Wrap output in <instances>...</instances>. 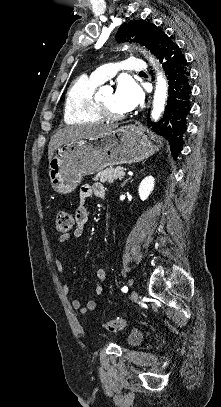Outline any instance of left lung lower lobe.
Instances as JSON below:
<instances>
[{
  "mask_svg": "<svg viewBox=\"0 0 221 407\" xmlns=\"http://www.w3.org/2000/svg\"><path fill=\"white\" fill-rule=\"evenodd\" d=\"M158 59L167 75L169 90L164 115L158 123H151L152 129L170 142L174 157L182 149L181 138L186 131V116L191 110L189 85L190 73L181 49L167 35H164Z\"/></svg>",
  "mask_w": 221,
  "mask_h": 407,
  "instance_id": "obj_1",
  "label": "left lung lower lobe"
}]
</instances>
